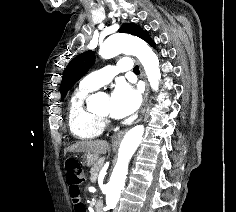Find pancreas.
Instances as JSON below:
<instances>
[{"label": "pancreas", "mask_w": 236, "mask_h": 212, "mask_svg": "<svg viewBox=\"0 0 236 212\" xmlns=\"http://www.w3.org/2000/svg\"><path fill=\"white\" fill-rule=\"evenodd\" d=\"M102 167V163L97 161L90 169V174H91V179L93 182L96 181L97 176H98V172L100 171Z\"/></svg>", "instance_id": "pancreas-1"}]
</instances>
